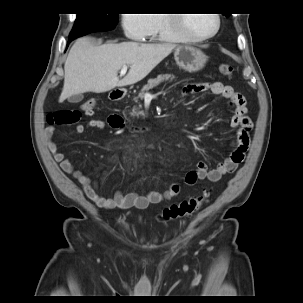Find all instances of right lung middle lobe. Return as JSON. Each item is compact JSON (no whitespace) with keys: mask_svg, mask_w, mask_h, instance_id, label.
Here are the masks:
<instances>
[{"mask_svg":"<svg viewBox=\"0 0 303 303\" xmlns=\"http://www.w3.org/2000/svg\"><path fill=\"white\" fill-rule=\"evenodd\" d=\"M118 13H83L76 16L69 38H77L100 29H113L118 22Z\"/></svg>","mask_w":303,"mask_h":303,"instance_id":"dd1d6c3e","label":"right lung middle lobe"}]
</instances>
